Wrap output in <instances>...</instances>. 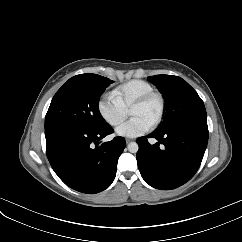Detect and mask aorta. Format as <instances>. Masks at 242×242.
Masks as SVG:
<instances>
[{
	"instance_id": "1",
	"label": "aorta",
	"mask_w": 242,
	"mask_h": 242,
	"mask_svg": "<svg viewBox=\"0 0 242 242\" xmlns=\"http://www.w3.org/2000/svg\"><path fill=\"white\" fill-rule=\"evenodd\" d=\"M139 150V146L136 142H131L128 144V151L131 153H137Z\"/></svg>"
}]
</instances>
